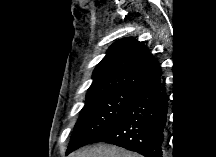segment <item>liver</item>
Returning <instances> with one entry per match:
<instances>
[{"label":"liver","mask_w":216,"mask_h":157,"mask_svg":"<svg viewBox=\"0 0 216 157\" xmlns=\"http://www.w3.org/2000/svg\"><path fill=\"white\" fill-rule=\"evenodd\" d=\"M72 157H139V155L113 145L99 144L72 154Z\"/></svg>","instance_id":"6515ba94"}]
</instances>
